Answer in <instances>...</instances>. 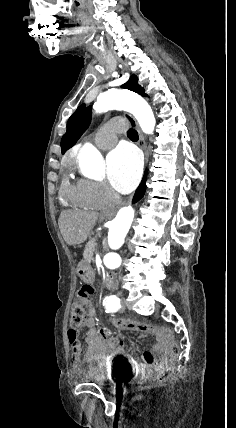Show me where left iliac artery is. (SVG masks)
<instances>
[{"instance_id": "left-iliac-artery-1", "label": "left iliac artery", "mask_w": 236, "mask_h": 428, "mask_svg": "<svg viewBox=\"0 0 236 428\" xmlns=\"http://www.w3.org/2000/svg\"><path fill=\"white\" fill-rule=\"evenodd\" d=\"M103 306L106 308V313L115 312L121 308L120 299L115 295L105 297L103 300Z\"/></svg>"}]
</instances>
